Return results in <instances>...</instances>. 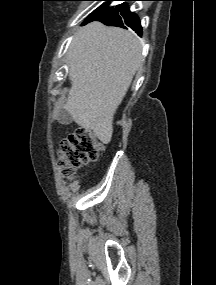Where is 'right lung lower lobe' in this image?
Returning <instances> with one entry per match:
<instances>
[{
    "label": "right lung lower lobe",
    "mask_w": 216,
    "mask_h": 285,
    "mask_svg": "<svg viewBox=\"0 0 216 285\" xmlns=\"http://www.w3.org/2000/svg\"><path fill=\"white\" fill-rule=\"evenodd\" d=\"M94 20L101 21L108 26H118L125 29L128 26L132 28L137 34L142 35V27L139 18L135 13L129 11L128 6L126 4H120L114 8H110L98 16L87 19L85 23Z\"/></svg>",
    "instance_id": "right-lung-lower-lobe-1"
}]
</instances>
